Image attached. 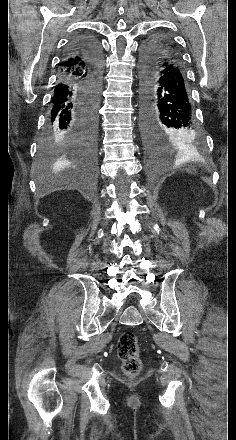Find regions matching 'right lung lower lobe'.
Returning <instances> with one entry per match:
<instances>
[{
	"mask_svg": "<svg viewBox=\"0 0 236 440\" xmlns=\"http://www.w3.org/2000/svg\"><path fill=\"white\" fill-rule=\"evenodd\" d=\"M86 65V78L60 77L54 88L51 108L46 127L47 136H61L72 140L79 153L87 161L96 153V134L91 144H84L83 135L91 129L92 102L87 98V85L101 89L104 58L98 40L91 34L75 37L61 63L78 60Z\"/></svg>",
	"mask_w": 236,
	"mask_h": 440,
	"instance_id": "right-lung-lower-lobe-1",
	"label": "right lung lower lobe"
}]
</instances>
